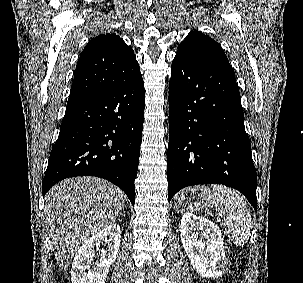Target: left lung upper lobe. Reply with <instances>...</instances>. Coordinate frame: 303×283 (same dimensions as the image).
Instances as JSON below:
<instances>
[{
  "label": "left lung upper lobe",
  "instance_id": "1",
  "mask_svg": "<svg viewBox=\"0 0 303 283\" xmlns=\"http://www.w3.org/2000/svg\"><path fill=\"white\" fill-rule=\"evenodd\" d=\"M187 60L227 59L221 46L198 30L191 31L178 46L176 56Z\"/></svg>",
  "mask_w": 303,
  "mask_h": 283
}]
</instances>
